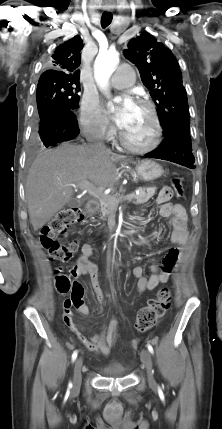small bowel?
<instances>
[{
    "label": "small bowel",
    "instance_id": "obj_1",
    "mask_svg": "<svg viewBox=\"0 0 222 429\" xmlns=\"http://www.w3.org/2000/svg\"><path fill=\"white\" fill-rule=\"evenodd\" d=\"M160 193L157 197L159 204V214L162 217L169 218L170 235L169 239L173 244L183 246L187 242V213L185 208L180 204L167 202ZM181 248H172L168 250L162 258L160 265L153 264L151 266V275L144 276L143 269L140 266H135L131 270V275L137 279V293L144 291H152L158 285L167 282L177 260L181 256ZM93 247L85 243L82 245L80 254L76 259V263L70 270L73 278L88 275L90 278L92 291L99 302L98 312H102L107 303L106 296L102 290L99 281V272L97 266L91 261ZM83 288L79 293L72 292L71 297L63 304L62 318L64 323L78 336L81 343L89 351L108 356L112 347L115 345L118 337V322L112 319L108 323L102 325L100 333L85 337L81 334L82 328L73 320V308L83 316H89L90 312L83 299ZM139 339H134L128 342L125 347L135 348L139 344Z\"/></svg>",
    "mask_w": 222,
    "mask_h": 429
}]
</instances>
